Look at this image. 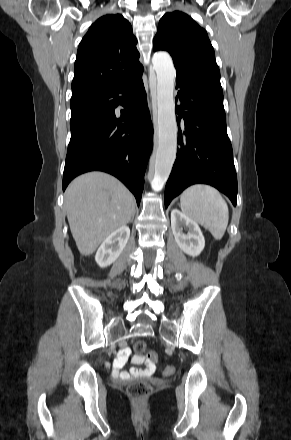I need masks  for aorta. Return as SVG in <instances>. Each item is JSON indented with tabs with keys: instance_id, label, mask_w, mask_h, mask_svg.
Here are the masks:
<instances>
[{
	"instance_id": "1",
	"label": "aorta",
	"mask_w": 291,
	"mask_h": 440,
	"mask_svg": "<svg viewBox=\"0 0 291 440\" xmlns=\"http://www.w3.org/2000/svg\"><path fill=\"white\" fill-rule=\"evenodd\" d=\"M153 68L157 75L156 88V121L157 148L154 157V176L152 188L159 191L166 183L177 152V123L173 90L176 71L168 53H155L152 58Z\"/></svg>"
}]
</instances>
